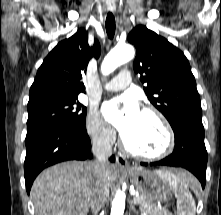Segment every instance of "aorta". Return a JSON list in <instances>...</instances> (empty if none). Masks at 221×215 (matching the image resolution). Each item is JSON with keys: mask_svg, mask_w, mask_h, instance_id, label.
I'll return each mask as SVG.
<instances>
[{"mask_svg": "<svg viewBox=\"0 0 221 215\" xmlns=\"http://www.w3.org/2000/svg\"><path fill=\"white\" fill-rule=\"evenodd\" d=\"M135 55V50L132 45L123 44L117 45L104 58L101 64L103 75H109L120 65L130 61ZM125 209V193L117 191L112 201L110 215H123Z\"/></svg>", "mask_w": 221, "mask_h": 215, "instance_id": "obj_1", "label": "aorta"}]
</instances>
